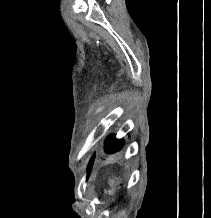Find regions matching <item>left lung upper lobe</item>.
I'll return each instance as SVG.
<instances>
[{
	"label": "left lung upper lobe",
	"mask_w": 211,
	"mask_h": 218,
	"mask_svg": "<svg viewBox=\"0 0 211 218\" xmlns=\"http://www.w3.org/2000/svg\"><path fill=\"white\" fill-rule=\"evenodd\" d=\"M123 144H124L123 140H116L114 136H111L106 141L105 150L107 151V153H113L120 150ZM92 163H93V159L91 160V163L88 167V172H90Z\"/></svg>",
	"instance_id": "5c2ea615"
}]
</instances>
